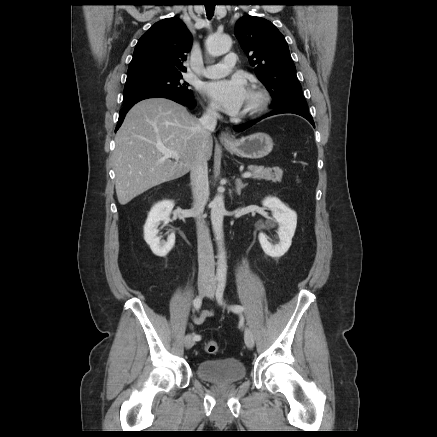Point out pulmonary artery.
Masks as SVG:
<instances>
[{
    "label": "pulmonary artery",
    "mask_w": 437,
    "mask_h": 437,
    "mask_svg": "<svg viewBox=\"0 0 437 437\" xmlns=\"http://www.w3.org/2000/svg\"><path fill=\"white\" fill-rule=\"evenodd\" d=\"M236 54L228 53L222 62L206 66L202 74L207 78H220L227 75L236 65Z\"/></svg>",
    "instance_id": "e3ab8cb5"
}]
</instances>
